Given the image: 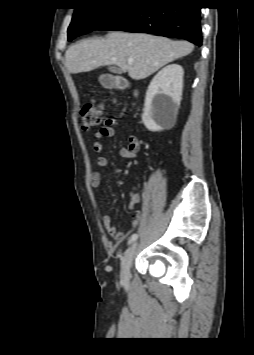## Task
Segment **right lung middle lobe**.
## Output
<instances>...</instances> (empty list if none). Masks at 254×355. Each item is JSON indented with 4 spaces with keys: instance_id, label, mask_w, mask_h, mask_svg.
Wrapping results in <instances>:
<instances>
[{
    "instance_id": "1",
    "label": "right lung middle lobe",
    "mask_w": 254,
    "mask_h": 355,
    "mask_svg": "<svg viewBox=\"0 0 254 355\" xmlns=\"http://www.w3.org/2000/svg\"><path fill=\"white\" fill-rule=\"evenodd\" d=\"M124 4L116 0H94L75 8L68 28V40L98 29Z\"/></svg>"
}]
</instances>
